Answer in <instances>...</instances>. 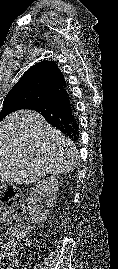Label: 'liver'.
I'll return each instance as SVG.
<instances>
[{"label": "liver", "instance_id": "6515ba94", "mask_svg": "<svg viewBox=\"0 0 118 269\" xmlns=\"http://www.w3.org/2000/svg\"><path fill=\"white\" fill-rule=\"evenodd\" d=\"M75 144L37 112L20 110L0 122V179L30 184L48 174L73 171Z\"/></svg>", "mask_w": 118, "mask_h": 269}]
</instances>
